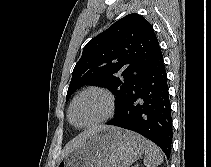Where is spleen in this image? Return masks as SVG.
<instances>
[{"mask_svg": "<svg viewBox=\"0 0 211 167\" xmlns=\"http://www.w3.org/2000/svg\"><path fill=\"white\" fill-rule=\"evenodd\" d=\"M143 162L146 167H157L163 162L162 153L151 141H146L145 143V157Z\"/></svg>", "mask_w": 211, "mask_h": 167, "instance_id": "1", "label": "spleen"}]
</instances>
